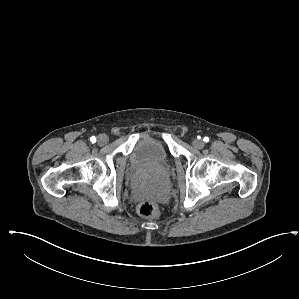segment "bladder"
<instances>
[{"label": "bladder", "mask_w": 299, "mask_h": 299, "mask_svg": "<svg viewBox=\"0 0 299 299\" xmlns=\"http://www.w3.org/2000/svg\"><path fill=\"white\" fill-rule=\"evenodd\" d=\"M169 162L170 155L166 146L151 137L139 140L130 155V164L136 170L161 169Z\"/></svg>", "instance_id": "obj_1"}]
</instances>
